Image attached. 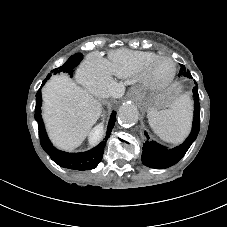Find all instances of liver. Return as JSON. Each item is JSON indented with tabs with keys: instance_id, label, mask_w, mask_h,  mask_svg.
<instances>
[{
	"instance_id": "6515ba94",
	"label": "liver",
	"mask_w": 227,
	"mask_h": 227,
	"mask_svg": "<svg viewBox=\"0 0 227 227\" xmlns=\"http://www.w3.org/2000/svg\"><path fill=\"white\" fill-rule=\"evenodd\" d=\"M43 117L49 136L60 149L79 147L101 115V104L67 77L51 79L43 89ZM102 138V133L95 142Z\"/></svg>"
}]
</instances>
